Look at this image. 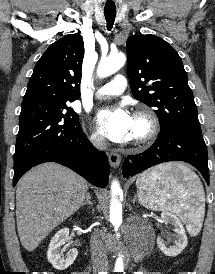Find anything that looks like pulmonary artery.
I'll return each instance as SVG.
<instances>
[{"mask_svg": "<svg viewBox=\"0 0 215 274\" xmlns=\"http://www.w3.org/2000/svg\"><path fill=\"white\" fill-rule=\"evenodd\" d=\"M126 86V78L123 75H116L110 82L97 90V95L101 97L116 96L123 93Z\"/></svg>", "mask_w": 215, "mask_h": 274, "instance_id": "1", "label": "pulmonary artery"}]
</instances>
